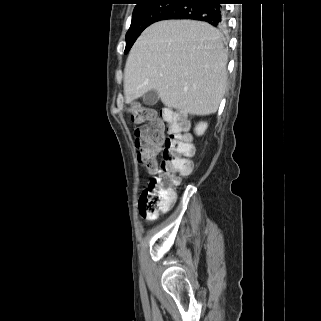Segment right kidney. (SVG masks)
Masks as SVG:
<instances>
[{"label":"right kidney","mask_w":321,"mask_h":321,"mask_svg":"<svg viewBox=\"0 0 321 321\" xmlns=\"http://www.w3.org/2000/svg\"><path fill=\"white\" fill-rule=\"evenodd\" d=\"M206 129H207V123L201 122L196 126L195 132L197 135L200 136L204 134Z\"/></svg>","instance_id":"obj_1"}]
</instances>
